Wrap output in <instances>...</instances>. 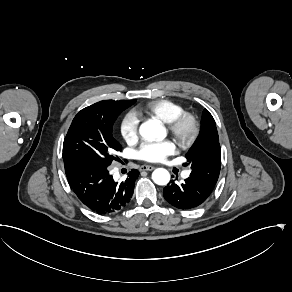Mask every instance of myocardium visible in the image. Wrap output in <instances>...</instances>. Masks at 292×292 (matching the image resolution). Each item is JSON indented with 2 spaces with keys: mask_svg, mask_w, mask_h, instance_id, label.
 I'll use <instances>...</instances> for the list:
<instances>
[{
  "mask_svg": "<svg viewBox=\"0 0 292 292\" xmlns=\"http://www.w3.org/2000/svg\"><path fill=\"white\" fill-rule=\"evenodd\" d=\"M169 131L183 145H190L198 134V124L195 117L187 112L180 113L168 124Z\"/></svg>",
  "mask_w": 292,
  "mask_h": 292,
  "instance_id": "1",
  "label": "myocardium"
}]
</instances>
